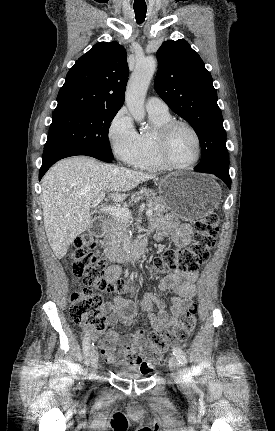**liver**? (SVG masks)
<instances>
[{
	"label": "liver",
	"mask_w": 275,
	"mask_h": 431,
	"mask_svg": "<svg viewBox=\"0 0 275 431\" xmlns=\"http://www.w3.org/2000/svg\"><path fill=\"white\" fill-rule=\"evenodd\" d=\"M155 175L78 156L63 159L42 179V209L48 242L59 259L77 236L93 223L90 206L100 192H108L115 202Z\"/></svg>",
	"instance_id": "liver-1"
}]
</instances>
